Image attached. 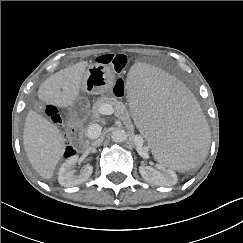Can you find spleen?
I'll return each instance as SVG.
<instances>
[{
    "label": "spleen",
    "instance_id": "1",
    "mask_svg": "<svg viewBox=\"0 0 243 243\" xmlns=\"http://www.w3.org/2000/svg\"><path fill=\"white\" fill-rule=\"evenodd\" d=\"M125 85L135 123L155 157L174 172L191 171L210 141L197 99L174 76L150 64L132 68Z\"/></svg>",
    "mask_w": 243,
    "mask_h": 243
}]
</instances>
